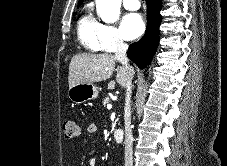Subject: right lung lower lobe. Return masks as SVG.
I'll return each instance as SVG.
<instances>
[{"label":"right lung lower lobe","mask_w":227,"mask_h":166,"mask_svg":"<svg viewBox=\"0 0 227 166\" xmlns=\"http://www.w3.org/2000/svg\"><path fill=\"white\" fill-rule=\"evenodd\" d=\"M147 2V28L139 42L130 45L127 56L139 68H145L152 58L159 42V26L161 0H146Z\"/></svg>","instance_id":"98d812e1"}]
</instances>
